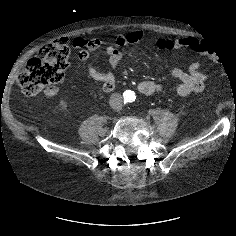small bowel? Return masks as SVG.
<instances>
[{
	"instance_id": "1",
	"label": "small bowel",
	"mask_w": 236,
	"mask_h": 236,
	"mask_svg": "<svg viewBox=\"0 0 236 236\" xmlns=\"http://www.w3.org/2000/svg\"><path fill=\"white\" fill-rule=\"evenodd\" d=\"M144 39V34L140 31H133L122 33L115 39L114 44L108 45L104 49L105 55L108 57L110 65L117 69L122 60V52L120 48L140 42ZM203 42L192 36L178 38L172 41L173 47H190L194 42ZM73 45L77 48H82L79 53V59L86 63V70L90 78L102 85L105 92H111L116 85V78L112 73H104L99 71L91 62V55L98 50L102 41L99 38H82L77 37L73 41ZM201 63L193 62L187 71L177 67H167V71L176 79L180 81L177 86V93L180 96H188L192 93H199L203 91L205 83L209 79V75L200 72ZM137 89L141 94L152 95L162 90V85L154 81H141L137 85ZM58 93L56 85L49 86L45 90V95L53 97Z\"/></svg>"
}]
</instances>
